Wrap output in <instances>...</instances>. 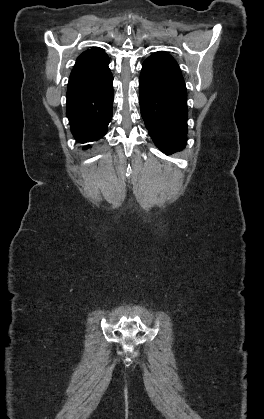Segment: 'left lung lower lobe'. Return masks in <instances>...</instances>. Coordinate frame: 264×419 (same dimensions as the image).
<instances>
[{
  "instance_id": "obj_1",
  "label": "left lung lower lobe",
  "mask_w": 264,
  "mask_h": 419,
  "mask_svg": "<svg viewBox=\"0 0 264 419\" xmlns=\"http://www.w3.org/2000/svg\"><path fill=\"white\" fill-rule=\"evenodd\" d=\"M141 115L149 135L165 154L186 145L187 92L177 62L164 51L142 64L139 79Z\"/></svg>"
}]
</instances>
